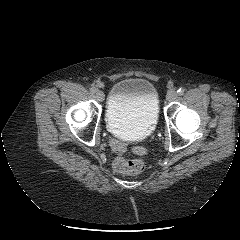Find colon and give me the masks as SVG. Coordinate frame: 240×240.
<instances>
[{"mask_svg":"<svg viewBox=\"0 0 240 240\" xmlns=\"http://www.w3.org/2000/svg\"><path fill=\"white\" fill-rule=\"evenodd\" d=\"M136 153L140 156L134 159H127L124 157H118L114 161V169L118 173L122 174H138L145 168V162L143 156L146 154L145 150L137 149Z\"/></svg>","mask_w":240,"mask_h":240,"instance_id":"colon-1","label":"colon"}]
</instances>
